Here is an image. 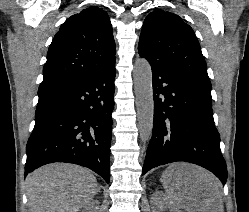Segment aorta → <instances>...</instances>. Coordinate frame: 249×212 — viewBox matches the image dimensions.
<instances>
[{"instance_id":"1","label":"aorta","mask_w":249,"mask_h":212,"mask_svg":"<svg viewBox=\"0 0 249 212\" xmlns=\"http://www.w3.org/2000/svg\"><path fill=\"white\" fill-rule=\"evenodd\" d=\"M138 129L140 139L148 142L151 138L154 119L152 91V70L150 63L143 58L136 60L133 69Z\"/></svg>"}]
</instances>
